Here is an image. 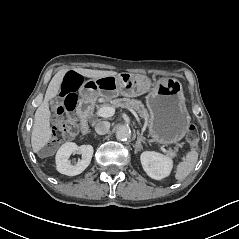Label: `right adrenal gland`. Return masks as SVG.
I'll return each mask as SVG.
<instances>
[{"instance_id":"right-adrenal-gland-1","label":"right adrenal gland","mask_w":239,"mask_h":239,"mask_svg":"<svg viewBox=\"0 0 239 239\" xmlns=\"http://www.w3.org/2000/svg\"><path fill=\"white\" fill-rule=\"evenodd\" d=\"M92 134L94 135V138H97V134L95 132H92Z\"/></svg>"}]
</instances>
